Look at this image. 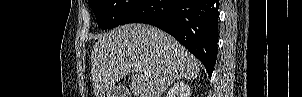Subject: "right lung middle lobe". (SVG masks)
Listing matches in <instances>:
<instances>
[{"mask_svg": "<svg viewBox=\"0 0 302 97\" xmlns=\"http://www.w3.org/2000/svg\"><path fill=\"white\" fill-rule=\"evenodd\" d=\"M143 0H89L98 27L102 29L114 28L123 22L128 14Z\"/></svg>", "mask_w": 302, "mask_h": 97, "instance_id": "dd1d6c3e", "label": "right lung middle lobe"}]
</instances>
